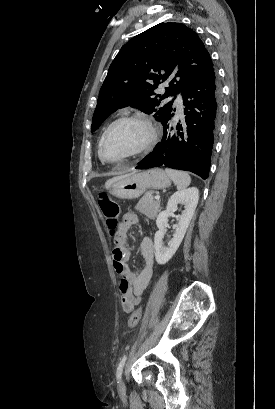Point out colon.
Listing matches in <instances>:
<instances>
[{
  "label": "colon",
  "mask_w": 275,
  "mask_h": 409,
  "mask_svg": "<svg viewBox=\"0 0 275 409\" xmlns=\"http://www.w3.org/2000/svg\"><path fill=\"white\" fill-rule=\"evenodd\" d=\"M98 205L103 214L107 228L111 236H113L118 227L119 205L109 195L102 193L98 198ZM142 317V309L137 308L130 314L128 318V327L134 328L138 325Z\"/></svg>",
  "instance_id": "1"
}]
</instances>
